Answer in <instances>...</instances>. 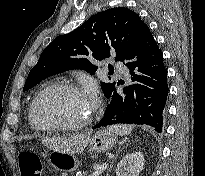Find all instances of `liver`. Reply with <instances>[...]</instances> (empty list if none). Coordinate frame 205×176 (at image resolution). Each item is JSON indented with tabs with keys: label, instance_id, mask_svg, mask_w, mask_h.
Listing matches in <instances>:
<instances>
[{
	"label": "liver",
	"instance_id": "1",
	"mask_svg": "<svg viewBox=\"0 0 205 176\" xmlns=\"http://www.w3.org/2000/svg\"><path fill=\"white\" fill-rule=\"evenodd\" d=\"M91 133L79 134L76 136L64 138H52L49 140H43L50 149L62 151L66 153H79L85 149L90 141Z\"/></svg>",
	"mask_w": 205,
	"mask_h": 176
}]
</instances>
